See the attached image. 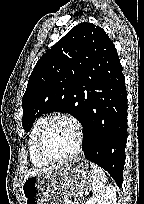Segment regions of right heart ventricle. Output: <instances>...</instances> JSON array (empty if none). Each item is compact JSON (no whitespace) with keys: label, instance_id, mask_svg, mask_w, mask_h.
Returning <instances> with one entry per match:
<instances>
[{"label":"right heart ventricle","instance_id":"obj_1","mask_svg":"<svg viewBox=\"0 0 144 204\" xmlns=\"http://www.w3.org/2000/svg\"><path fill=\"white\" fill-rule=\"evenodd\" d=\"M46 119L47 118H45V117H40V118H38L36 120V122L34 123L32 129L30 131V134H29V137H28V142H27L30 161L34 166H37V167L46 166L48 164V162L43 160L38 155L37 150H36L37 135H38L42 125L46 121Z\"/></svg>","mask_w":144,"mask_h":204}]
</instances>
